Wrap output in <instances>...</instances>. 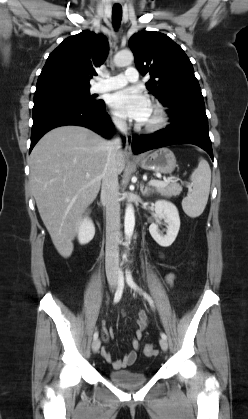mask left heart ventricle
I'll return each instance as SVG.
<instances>
[{
  "label": "left heart ventricle",
  "mask_w": 248,
  "mask_h": 419,
  "mask_svg": "<svg viewBox=\"0 0 248 419\" xmlns=\"http://www.w3.org/2000/svg\"><path fill=\"white\" fill-rule=\"evenodd\" d=\"M153 117H154V113H153V110L151 108L150 112H149V115H148V118L146 119V121L144 123L151 121L153 119Z\"/></svg>",
  "instance_id": "obj_1"
}]
</instances>
